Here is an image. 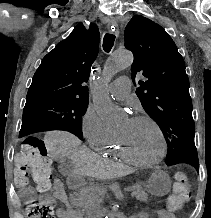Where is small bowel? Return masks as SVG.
Instances as JSON below:
<instances>
[{
  "instance_id": "small-bowel-1",
  "label": "small bowel",
  "mask_w": 211,
  "mask_h": 218,
  "mask_svg": "<svg viewBox=\"0 0 211 218\" xmlns=\"http://www.w3.org/2000/svg\"><path fill=\"white\" fill-rule=\"evenodd\" d=\"M51 192L40 196V199L48 204H53L55 201H60L68 205V199L65 192L64 184L60 179H54ZM21 195L28 199H33L35 192L32 188L27 187L21 190ZM58 218H80L79 212L71 209L70 207H63L57 210ZM137 218H149L147 214H140ZM156 218H176L174 213L168 209H161L156 212Z\"/></svg>"
}]
</instances>
